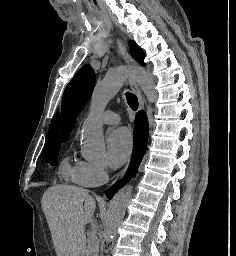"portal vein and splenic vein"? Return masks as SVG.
<instances>
[{
	"instance_id": "18ae733b",
	"label": "portal vein and splenic vein",
	"mask_w": 236,
	"mask_h": 256,
	"mask_svg": "<svg viewBox=\"0 0 236 256\" xmlns=\"http://www.w3.org/2000/svg\"><path fill=\"white\" fill-rule=\"evenodd\" d=\"M92 228H97V224H91Z\"/></svg>"
}]
</instances>
